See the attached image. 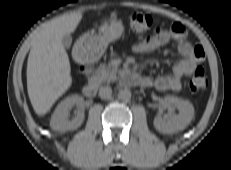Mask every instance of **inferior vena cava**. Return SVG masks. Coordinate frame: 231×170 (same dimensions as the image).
I'll use <instances>...</instances> for the list:
<instances>
[{
	"instance_id": "602c4592",
	"label": "inferior vena cava",
	"mask_w": 231,
	"mask_h": 170,
	"mask_svg": "<svg viewBox=\"0 0 231 170\" xmlns=\"http://www.w3.org/2000/svg\"><path fill=\"white\" fill-rule=\"evenodd\" d=\"M112 94V89L109 86L101 87L99 90V96L102 99H107L111 96Z\"/></svg>"
}]
</instances>
